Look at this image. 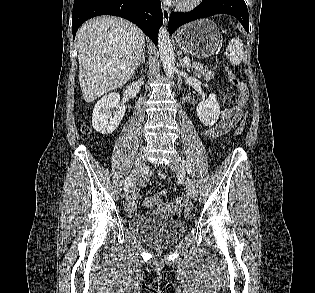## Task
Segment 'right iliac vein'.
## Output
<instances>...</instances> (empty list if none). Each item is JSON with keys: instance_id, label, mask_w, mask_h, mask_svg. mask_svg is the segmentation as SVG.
Returning <instances> with one entry per match:
<instances>
[{"instance_id": "1", "label": "right iliac vein", "mask_w": 315, "mask_h": 293, "mask_svg": "<svg viewBox=\"0 0 315 293\" xmlns=\"http://www.w3.org/2000/svg\"><path fill=\"white\" fill-rule=\"evenodd\" d=\"M144 156L142 153H140L135 161V164H134V169H133V181L131 182V185H130V189L127 191V194H126V199L129 201L131 200V198L133 197V193L136 189V186H137V179L139 177V175L141 174L143 168H144Z\"/></svg>"}]
</instances>
